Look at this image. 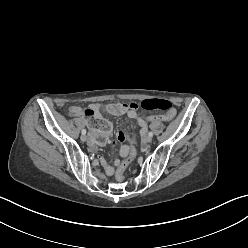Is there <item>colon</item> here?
I'll return each instance as SVG.
<instances>
[{"label":"colon","instance_id":"5ec220e1","mask_svg":"<svg viewBox=\"0 0 248 248\" xmlns=\"http://www.w3.org/2000/svg\"><path fill=\"white\" fill-rule=\"evenodd\" d=\"M137 107L136 104H113L110 105L109 109L111 112L115 114H121L125 108L127 107ZM141 108L144 110L152 111V110H162L165 111L166 114L160 115H149L145 113L143 118L147 120L151 125H156L158 122H169L175 115V108L173 104L166 99H147L141 102ZM84 115L90 118V125L93 128L92 134L96 143L100 146H103L107 143L111 125L109 122L104 121L100 118H95L94 112L89 109H84ZM136 155V150L133 144H130L127 150V158L120 162L117 167L115 178L118 181H123L125 179V171L129 164L133 161Z\"/></svg>","mask_w":248,"mask_h":248}]
</instances>
